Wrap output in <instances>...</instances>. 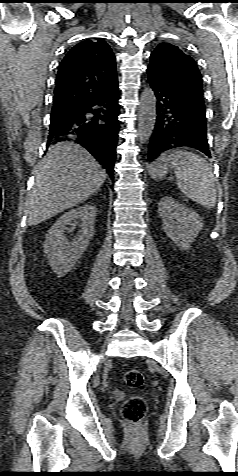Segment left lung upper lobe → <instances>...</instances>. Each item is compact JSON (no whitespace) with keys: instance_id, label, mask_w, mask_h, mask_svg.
Returning a JSON list of instances; mask_svg holds the SVG:
<instances>
[{"instance_id":"1","label":"left lung upper lobe","mask_w":238,"mask_h":476,"mask_svg":"<svg viewBox=\"0 0 238 476\" xmlns=\"http://www.w3.org/2000/svg\"><path fill=\"white\" fill-rule=\"evenodd\" d=\"M147 72L177 94L204 103L197 63L177 46L161 43L152 52Z\"/></svg>"}]
</instances>
